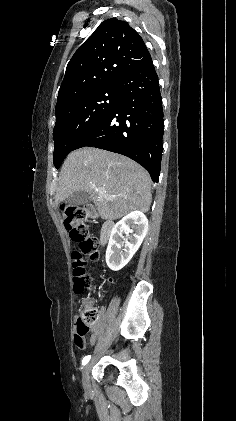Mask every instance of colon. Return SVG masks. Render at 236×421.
I'll return each mask as SVG.
<instances>
[{
	"label": "colon",
	"instance_id": "colon-1",
	"mask_svg": "<svg viewBox=\"0 0 236 421\" xmlns=\"http://www.w3.org/2000/svg\"><path fill=\"white\" fill-rule=\"evenodd\" d=\"M85 212L79 207H67L64 209V224L72 241L77 247L72 251V266L74 290L77 294L94 289V282L89 274L86 257L91 259L98 257L97 241L90 232L89 225L85 223ZM99 310L90 302H85L79 309L77 316L76 332L74 334L75 345L83 349L86 345V335L99 320Z\"/></svg>",
	"mask_w": 236,
	"mask_h": 421
}]
</instances>
